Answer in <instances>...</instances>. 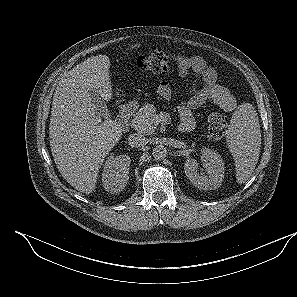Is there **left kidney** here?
I'll return each mask as SVG.
<instances>
[{
  "label": "left kidney",
  "mask_w": 297,
  "mask_h": 297,
  "mask_svg": "<svg viewBox=\"0 0 297 297\" xmlns=\"http://www.w3.org/2000/svg\"><path fill=\"white\" fill-rule=\"evenodd\" d=\"M201 152L206 175L198 173V162L195 159H188L185 162L184 172L190 182L198 189H218L224 178V162L218 153L209 148H203Z\"/></svg>",
  "instance_id": "5707ae66"
}]
</instances>
